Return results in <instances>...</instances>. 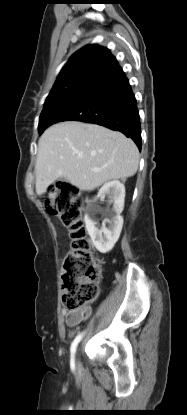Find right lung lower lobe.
<instances>
[{"instance_id": "right-lung-lower-lobe-1", "label": "right lung lower lobe", "mask_w": 187, "mask_h": 415, "mask_svg": "<svg viewBox=\"0 0 187 415\" xmlns=\"http://www.w3.org/2000/svg\"><path fill=\"white\" fill-rule=\"evenodd\" d=\"M82 121L117 130L141 149V127L134 93L117 60L77 82L50 115V125Z\"/></svg>"}]
</instances>
